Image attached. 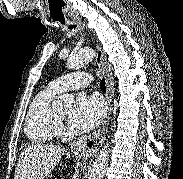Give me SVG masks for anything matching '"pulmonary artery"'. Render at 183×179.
<instances>
[{"instance_id": "1", "label": "pulmonary artery", "mask_w": 183, "mask_h": 179, "mask_svg": "<svg viewBox=\"0 0 183 179\" xmlns=\"http://www.w3.org/2000/svg\"><path fill=\"white\" fill-rule=\"evenodd\" d=\"M91 76L86 72H73L63 75L49 84V88L60 93L68 90L81 89L90 84Z\"/></svg>"}]
</instances>
